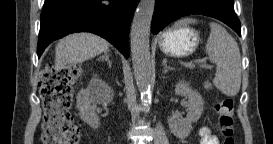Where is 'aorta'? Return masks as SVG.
Listing matches in <instances>:
<instances>
[{"label":"aorta","mask_w":273,"mask_h":144,"mask_svg":"<svg viewBox=\"0 0 273 144\" xmlns=\"http://www.w3.org/2000/svg\"><path fill=\"white\" fill-rule=\"evenodd\" d=\"M155 0H140L131 26V55L134 76L144 104L151 102V62L149 36Z\"/></svg>","instance_id":"aorta-1"}]
</instances>
